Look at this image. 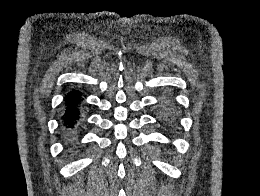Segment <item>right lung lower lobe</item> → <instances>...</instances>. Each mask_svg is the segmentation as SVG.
Masks as SVG:
<instances>
[{
    "label": "right lung lower lobe",
    "mask_w": 260,
    "mask_h": 196,
    "mask_svg": "<svg viewBox=\"0 0 260 196\" xmlns=\"http://www.w3.org/2000/svg\"><path fill=\"white\" fill-rule=\"evenodd\" d=\"M82 100V93L76 89H72L65 96L61 123L63 128L62 131L68 136L75 133V130L81 125L82 115L80 112V105Z\"/></svg>",
    "instance_id": "1"
}]
</instances>
